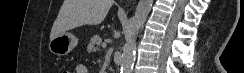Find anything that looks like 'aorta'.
I'll return each mask as SVG.
<instances>
[{"mask_svg":"<svg viewBox=\"0 0 244 73\" xmlns=\"http://www.w3.org/2000/svg\"><path fill=\"white\" fill-rule=\"evenodd\" d=\"M153 0H139L133 17V30L128 38L122 54L121 73H131L136 51V38L152 9Z\"/></svg>","mask_w":244,"mask_h":73,"instance_id":"aorta-1","label":"aorta"}]
</instances>
